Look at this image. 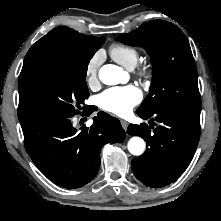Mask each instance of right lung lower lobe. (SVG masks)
<instances>
[{
    "mask_svg": "<svg viewBox=\"0 0 221 221\" xmlns=\"http://www.w3.org/2000/svg\"><path fill=\"white\" fill-rule=\"evenodd\" d=\"M93 111L88 106L83 115ZM73 116L54 114L21 122L25 149L34 164L53 183L70 189L90 182L99 170L102 147L121 143L126 135L120 121L105 112L79 131L71 123Z\"/></svg>",
    "mask_w": 221,
    "mask_h": 221,
    "instance_id": "right-lung-lower-lobe-1",
    "label": "right lung lower lobe"
}]
</instances>
